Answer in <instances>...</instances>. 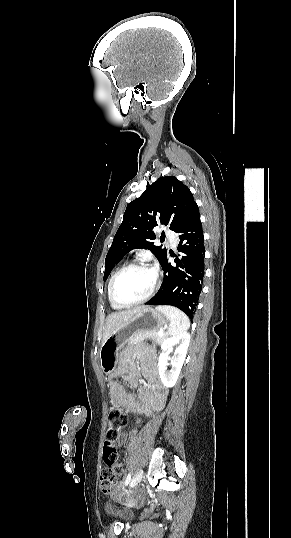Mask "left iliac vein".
Masks as SVG:
<instances>
[{
    "label": "left iliac vein",
    "mask_w": 291,
    "mask_h": 538,
    "mask_svg": "<svg viewBox=\"0 0 291 538\" xmlns=\"http://www.w3.org/2000/svg\"><path fill=\"white\" fill-rule=\"evenodd\" d=\"M142 477H143V470L139 469L134 475L133 480L130 484V487L131 488L135 487L141 481Z\"/></svg>",
    "instance_id": "1"
}]
</instances>
